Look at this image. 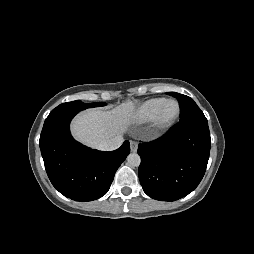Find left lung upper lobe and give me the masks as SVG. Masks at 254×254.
Masks as SVG:
<instances>
[{
	"label": "left lung upper lobe",
	"instance_id": "left-lung-upper-lobe-1",
	"mask_svg": "<svg viewBox=\"0 0 254 254\" xmlns=\"http://www.w3.org/2000/svg\"><path fill=\"white\" fill-rule=\"evenodd\" d=\"M169 95L174 96L180 106V121H186L191 119L207 120L203 112L197 106V104L186 95H182L176 92H170Z\"/></svg>",
	"mask_w": 254,
	"mask_h": 254
}]
</instances>
